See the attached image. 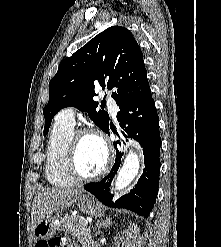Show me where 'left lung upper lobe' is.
I'll return each instance as SVG.
<instances>
[{"label": "left lung upper lobe", "mask_w": 221, "mask_h": 247, "mask_svg": "<svg viewBox=\"0 0 221 247\" xmlns=\"http://www.w3.org/2000/svg\"><path fill=\"white\" fill-rule=\"evenodd\" d=\"M97 85L114 91L117 105L151 94L142 51L128 29L112 26L60 63L49 82V101L43 109L44 136L54 115L68 106L87 112L105 132L109 115L96 111L99 103L93 97Z\"/></svg>", "instance_id": "5c2ea615"}]
</instances>
